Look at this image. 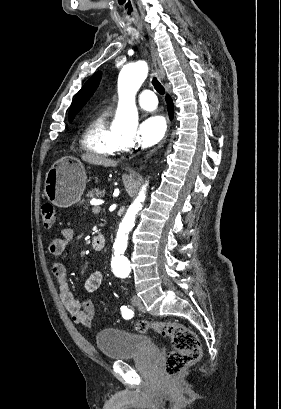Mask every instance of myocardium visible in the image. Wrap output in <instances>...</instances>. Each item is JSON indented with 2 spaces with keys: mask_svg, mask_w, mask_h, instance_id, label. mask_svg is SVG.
I'll use <instances>...</instances> for the list:
<instances>
[{
  "mask_svg": "<svg viewBox=\"0 0 281 409\" xmlns=\"http://www.w3.org/2000/svg\"><path fill=\"white\" fill-rule=\"evenodd\" d=\"M116 135H117V138L119 140L121 148L127 146V144L129 143V139H127V138H125L122 135L117 134V133H116Z\"/></svg>",
  "mask_w": 281,
  "mask_h": 409,
  "instance_id": "obj_1",
  "label": "myocardium"
}]
</instances>
